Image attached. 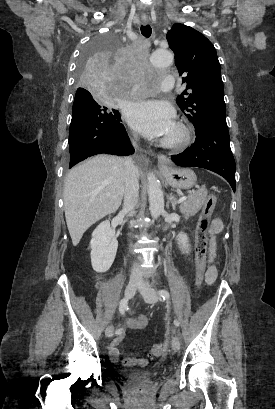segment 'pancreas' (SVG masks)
<instances>
[{
	"mask_svg": "<svg viewBox=\"0 0 275 409\" xmlns=\"http://www.w3.org/2000/svg\"><path fill=\"white\" fill-rule=\"evenodd\" d=\"M207 194V188H204L202 192H191V194H188V200H183L182 205H180V211L185 219L193 217V215L200 211Z\"/></svg>",
	"mask_w": 275,
	"mask_h": 409,
	"instance_id": "pancreas-1",
	"label": "pancreas"
}]
</instances>
